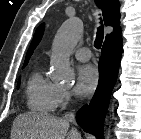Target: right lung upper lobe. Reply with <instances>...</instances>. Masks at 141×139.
I'll use <instances>...</instances> for the list:
<instances>
[{"label": "right lung upper lobe", "instance_id": "1", "mask_svg": "<svg viewBox=\"0 0 141 139\" xmlns=\"http://www.w3.org/2000/svg\"><path fill=\"white\" fill-rule=\"evenodd\" d=\"M95 2L102 11L104 24L106 26H114V32H112L110 35H107L105 40L120 35V28H119L120 5L118 0H95ZM43 31H44V24L40 25L34 34V38L28 49L24 65H27L29 58L33 54L34 49L40 42L43 35Z\"/></svg>", "mask_w": 141, "mask_h": 139}]
</instances>
